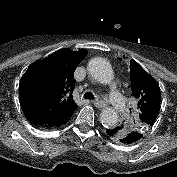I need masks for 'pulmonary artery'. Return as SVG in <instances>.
<instances>
[{
    "mask_svg": "<svg viewBox=\"0 0 177 177\" xmlns=\"http://www.w3.org/2000/svg\"><path fill=\"white\" fill-rule=\"evenodd\" d=\"M108 97L111 104L114 106L116 110L123 111L125 109V102L120 95L116 83L114 82L110 83L109 85Z\"/></svg>",
    "mask_w": 177,
    "mask_h": 177,
    "instance_id": "e3ab8cb5",
    "label": "pulmonary artery"
}]
</instances>
